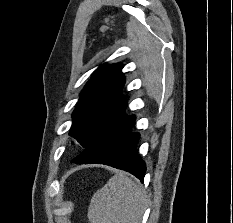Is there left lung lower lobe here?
Wrapping results in <instances>:
<instances>
[{"instance_id":"obj_1","label":"left lung lower lobe","mask_w":233,"mask_h":223,"mask_svg":"<svg viewBox=\"0 0 233 223\" xmlns=\"http://www.w3.org/2000/svg\"><path fill=\"white\" fill-rule=\"evenodd\" d=\"M126 105L72 162L99 163L130 172L143 182L146 166L137 154L138 133H132L135 116L124 114Z\"/></svg>"}]
</instances>
